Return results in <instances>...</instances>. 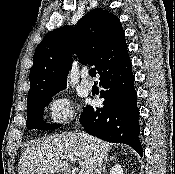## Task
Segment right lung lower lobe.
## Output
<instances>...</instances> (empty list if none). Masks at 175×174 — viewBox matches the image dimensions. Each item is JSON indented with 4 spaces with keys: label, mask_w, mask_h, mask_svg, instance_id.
I'll list each match as a JSON object with an SVG mask.
<instances>
[{
    "label": "right lung lower lobe",
    "mask_w": 175,
    "mask_h": 174,
    "mask_svg": "<svg viewBox=\"0 0 175 174\" xmlns=\"http://www.w3.org/2000/svg\"><path fill=\"white\" fill-rule=\"evenodd\" d=\"M100 86L105 89L100 96L105 99L104 107L86 106L80 123L87 133L108 142L127 144L142 156L137 94L128 53L102 71Z\"/></svg>",
    "instance_id": "98d812e1"
}]
</instances>
